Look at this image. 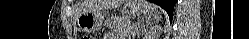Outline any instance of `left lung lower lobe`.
Returning a JSON list of instances; mask_svg holds the SVG:
<instances>
[{"mask_svg": "<svg viewBox=\"0 0 249 39\" xmlns=\"http://www.w3.org/2000/svg\"><path fill=\"white\" fill-rule=\"evenodd\" d=\"M150 1L160 5L163 9H165L170 17V20L172 19L174 5L177 2V0H150Z\"/></svg>", "mask_w": 249, "mask_h": 39, "instance_id": "obj_1", "label": "left lung lower lobe"}]
</instances>
